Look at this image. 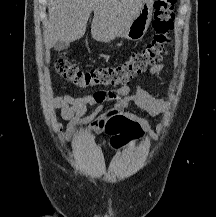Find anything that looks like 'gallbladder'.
Here are the masks:
<instances>
[{
    "label": "gallbladder",
    "mask_w": 216,
    "mask_h": 217,
    "mask_svg": "<svg viewBox=\"0 0 216 217\" xmlns=\"http://www.w3.org/2000/svg\"><path fill=\"white\" fill-rule=\"evenodd\" d=\"M69 47V42L58 41L54 45V49L57 51L64 50Z\"/></svg>",
    "instance_id": "gallbladder-1"
}]
</instances>
